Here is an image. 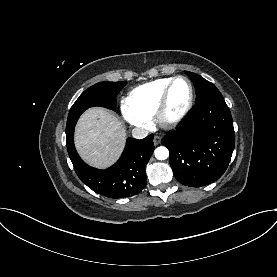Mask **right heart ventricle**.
Returning a JSON list of instances; mask_svg holds the SVG:
<instances>
[{
  "mask_svg": "<svg viewBox=\"0 0 277 277\" xmlns=\"http://www.w3.org/2000/svg\"><path fill=\"white\" fill-rule=\"evenodd\" d=\"M173 78H161L134 88L126 99V104L147 117L155 114L159 100L166 86Z\"/></svg>",
  "mask_w": 277,
  "mask_h": 277,
  "instance_id": "e07e8e85",
  "label": "right heart ventricle"
}]
</instances>
